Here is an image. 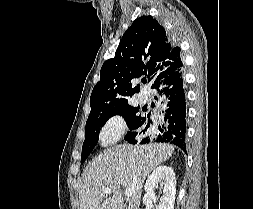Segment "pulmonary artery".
<instances>
[{"label": "pulmonary artery", "instance_id": "pulmonary-artery-1", "mask_svg": "<svg viewBox=\"0 0 253 209\" xmlns=\"http://www.w3.org/2000/svg\"><path fill=\"white\" fill-rule=\"evenodd\" d=\"M138 100L140 103H146L148 101V95L145 93L138 94Z\"/></svg>", "mask_w": 253, "mask_h": 209}]
</instances>
